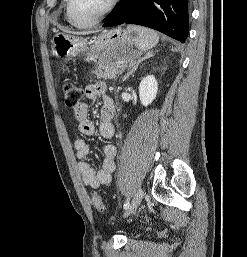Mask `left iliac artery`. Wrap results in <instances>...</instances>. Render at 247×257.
<instances>
[{
    "label": "left iliac artery",
    "mask_w": 247,
    "mask_h": 257,
    "mask_svg": "<svg viewBox=\"0 0 247 257\" xmlns=\"http://www.w3.org/2000/svg\"><path fill=\"white\" fill-rule=\"evenodd\" d=\"M130 206L129 197L126 199V202L124 204V209H128Z\"/></svg>",
    "instance_id": "left-iliac-artery-1"
}]
</instances>
